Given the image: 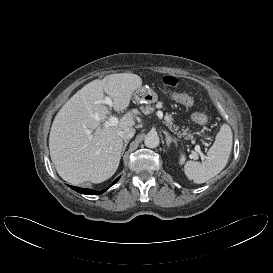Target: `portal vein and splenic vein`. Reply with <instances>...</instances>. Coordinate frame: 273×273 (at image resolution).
I'll use <instances>...</instances> for the list:
<instances>
[{"label": "portal vein and splenic vein", "mask_w": 273, "mask_h": 273, "mask_svg": "<svg viewBox=\"0 0 273 273\" xmlns=\"http://www.w3.org/2000/svg\"><path fill=\"white\" fill-rule=\"evenodd\" d=\"M102 102H103L104 104L109 105L110 107L113 106L112 99H111L109 96L105 97V99H104ZM157 116H158L160 119H162L163 113H162L161 111H158V112H157ZM117 123H118V118L115 117V116H112L111 118H109L108 121L105 122V126L116 125ZM195 150H196L197 152L200 151V147H199V146H196V149H195ZM191 158L197 159V158H198L197 153H196V152H192ZM201 158L204 159V155H203V154H201Z\"/></svg>", "instance_id": "18ae733b"}]
</instances>
